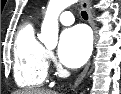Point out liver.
<instances>
[{
	"instance_id": "6515ba94",
	"label": "liver",
	"mask_w": 121,
	"mask_h": 94,
	"mask_svg": "<svg viewBox=\"0 0 121 94\" xmlns=\"http://www.w3.org/2000/svg\"><path fill=\"white\" fill-rule=\"evenodd\" d=\"M14 94H58V93L52 90L31 89V90L17 91Z\"/></svg>"
}]
</instances>
